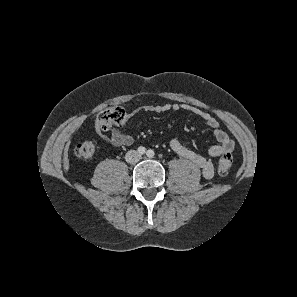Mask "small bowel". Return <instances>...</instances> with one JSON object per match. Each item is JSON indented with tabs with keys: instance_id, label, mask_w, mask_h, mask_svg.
<instances>
[{
	"instance_id": "c3829d8e",
	"label": "small bowel",
	"mask_w": 297,
	"mask_h": 297,
	"mask_svg": "<svg viewBox=\"0 0 297 297\" xmlns=\"http://www.w3.org/2000/svg\"><path fill=\"white\" fill-rule=\"evenodd\" d=\"M145 110L155 113L185 111L201 118L206 123V125L210 129H212L213 136L216 140V144L212 145L208 150V154L211 157H218L223 154L230 153L234 149L233 141L229 138L225 131L219 128L218 120L209 112L204 111L196 106L185 103H168L162 105L146 106ZM97 132L102 139L110 142L111 144L117 147L130 146L134 142L133 136H131L130 134L123 133L117 128L111 129L109 135L103 133L102 130L98 127ZM170 147L178 156L190 161L193 165L200 168L204 177H213L214 166L212 162L209 161L207 158L189 149L177 138L171 139Z\"/></svg>"
}]
</instances>
